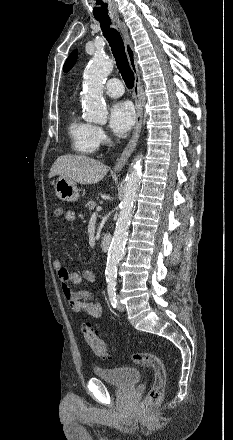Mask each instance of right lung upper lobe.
I'll return each mask as SVG.
<instances>
[{
  "label": "right lung upper lobe",
  "mask_w": 233,
  "mask_h": 440,
  "mask_svg": "<svg viewBox=\"0 0 233 440\" xmlns=\"http://www.w3.org/2000/svg\"><path fill=\"white\" fill-rule=\"evenodd\" d=\"M77 55H78L77 50L73 51L70 54V56L68 57V59L66 60V62L64 64V67H63L64 72H68L73 67V65L76 62Z\"/></svg>",
  "instance_id": "right-lung-upper-lobe-1"
}]
</instances>
